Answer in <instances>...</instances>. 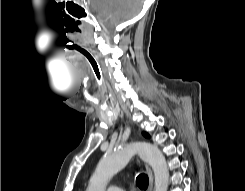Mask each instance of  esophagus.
Masks as SVG:
<instances>
[{
  "label": "esophagus",
  "instance_id": "obj_1",
  "mask_svg": "<svg viewBox=\"0 0 245 191\" xmlns=\"http://www.w3.org/2000/svg\"><path fill=\"white\" fill-rule=\"evenodd\" d=\"M146 167V171L148 174V178H149V186H148V191H152L153 189V174H152V170L148 165H145Z\"/></svg>",
  "mask_w": 245,
  "mask_h": 191
}]
</instances>
